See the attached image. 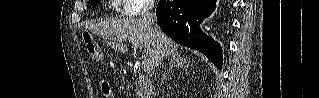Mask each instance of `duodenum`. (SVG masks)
Here are the masks:
<instances>
[{
    "mask_svg": "<svg viewBox=\"0 0 319 98\" xmlns=\"http://www.w3.org/2000/svg\"><path fill=\"white\" fill-rule=\"evenodd\" d=\"M127 65H128L129 68L133 67V63H131V62H129Z\"/></svg>",
    "mask_w": 319,
    "mask_h": 98,
    "instance_id": "410a0bca",
    "label": "duodenum"
}]
</instances>
